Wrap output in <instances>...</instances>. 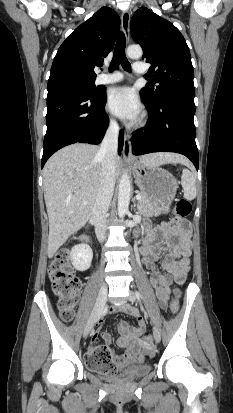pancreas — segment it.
<instances>
[{"mask_svg": "<svg viewBox=\"0 0 233 413\" xmlns=\"http://www.w3.org/2000/svg\"><path fill=\"white\" fill-rule=\"evenodd\" d=\"M141 200L138 201V212L144 216H156L163 211L164 214L170 211L169 207H160L157 201L151 200L147 195L140 192Z\"/></svg>", "mask_w": 233, "mask_h": 413, "instance_id": "pancreas-1", "label": "pancreas"}]
</instances>
